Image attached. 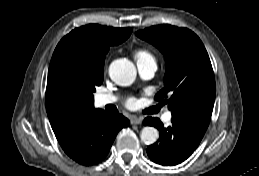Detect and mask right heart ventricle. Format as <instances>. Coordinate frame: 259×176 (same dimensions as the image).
I'll return each instance as SVG.
<instances>
[{
  "label": "right heart ventricle",
  "mask_w": 259,
  "mask_h": 176,
  "mask_svg": "<svg viewBox=\"0 0 259 176\" xmlns=\"http://www.w3.org/2000/svg\"><path fill=\"white\" fill-rule=\"evenodd\" d=\"M137 63H143L148 61H155L152 53L144 48L137 49L134 53Z\"/></svg>",
  "instance_id": "1"
}]
</instances>
